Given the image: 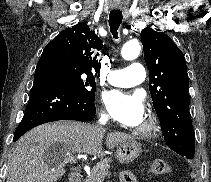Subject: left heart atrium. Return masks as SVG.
<instances>
[{"label":"left heart atrium","instance_id":"1","mask_svg":"<svg viewBox=\"0 0 211 182\" xmlns=\"http://www.w3.org/2000/svg\"><path fill=\"white\" fill-rule=\"evenodd\" d=\"M103 101L110 115L125 126L136 127L146 116L143 100L138 94L111 90L104 94Z\"/></svg>","mask_w":211,"mask_h":182}]
</instances>
